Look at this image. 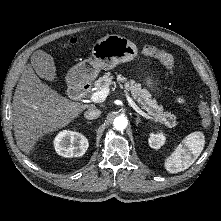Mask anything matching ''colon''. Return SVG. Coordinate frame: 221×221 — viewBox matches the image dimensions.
<instances>
[{
	"instance_id": "1",
	"label": "colon",
	"mask_w": 221,
	"mask_h": 221,
	"mask_svg": "<svg viewBox=\"0 0 221 221\" xmlns=\"http://www.w3.org/2000/svg\"><path fill=\"white\" fill-rule=\"evenodd\" d=\"M77 40L72 39L69 44L63 45L61 49H67L77 45ZM141 54L144 56H150L158 58L164 65H166L170 70H175V62L172 55L166 51L160 50L152 45H144L141 48ZM199 112L201 116V125L203 128H208L211 125L210 109L207 101L201 95L199 96Z\"/></svg>"
}]
</instances>
